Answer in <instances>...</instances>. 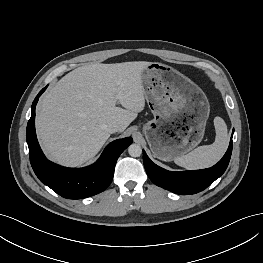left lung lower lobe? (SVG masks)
<instances>
[{
    "mask_svg": "<svg viewBox=\"0 0 263 263\" xmlns=\"http://www.w3.org/2000/svg\"><path fill=\"white\" fill-rule=\"evenodd\" d=\"M232 147L231 137L228 150L223 158L213 167L202 170L168 171L154 164L145 151H143V163L147 175L157 186L176 194L190 195L206 189L225 172L230 161Z\"/></svg>",
    "mask_w": 263,
    "mask_h": 263,
    "instance_id": "left-lung-lower-lobe-1",
    "label": "left lung lower lobe"
}]
</instances>
